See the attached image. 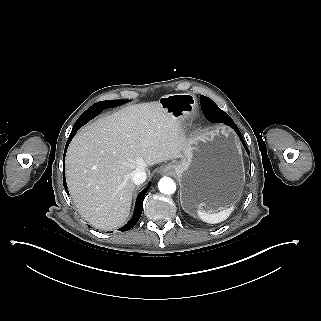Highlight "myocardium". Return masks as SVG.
<instances>
[{"mask_svg": "<svg viewBox=\"0 0 321 321\" xmlns=\"http://www.w3.org/2000/svg\"><path fill=\"white\" fill-rule=\"evenodd\" d=\"M197 134V132L196 131H193L192 133H191V135H196Z\"/></svg>", "mask_w": 321, "mask_h": 321, "instance_id": "obj_1", "label": "myocardium"}]
</instances>
